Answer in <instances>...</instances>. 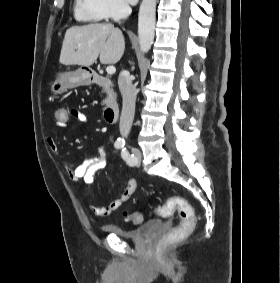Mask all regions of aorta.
I'll list each match as a JSON object with an SVG mask.
<instances>
[{"instance_id":"762f6f07","label":"aorta","mask_w":280,"mask_h":283,"mask_svg":"<svg viewBox=\"0 0 280 283\" xmlns=\"http://www.w3.org/2000/svg\"><path fill=\"white\" fill-rule=\"evenodd\" d=\"M157 0H142L138 15L140 50L147 53L154 41Z\"/></svg>"}]
</instances>
